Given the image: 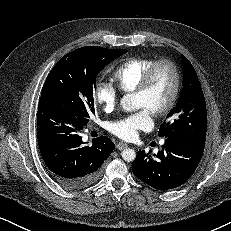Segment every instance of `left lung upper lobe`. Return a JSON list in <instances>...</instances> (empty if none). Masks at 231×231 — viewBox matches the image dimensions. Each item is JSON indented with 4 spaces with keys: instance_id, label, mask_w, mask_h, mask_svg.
Instances as JSON below:
<instances>
[{
    "instance_id": "1",
    "label": "left lung upper lobe",
    "mask_w": 231,
    "mask_h": 231,
    "mask_svg": "<svg viewBox=\"0 0 231 231\" xmlns=\"http://www.w3.org/2000/svg\"><path fill=\"white\" fill-rule=\"evenodd\" d=\"M183 89L176 107L160 126L158 136L192 141H205L207 111L205 98L195 69L182 55Z\"/></svg>"
}]
</instances>
